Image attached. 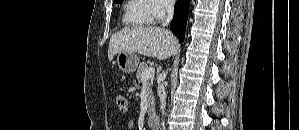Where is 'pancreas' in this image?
Listing matches in <instances>:
<instances>
[{
	"instance_id": "cf45deb5",
	"label": "pancreas",
	"mask_w": 299,
	"mask_h": 130,
	"mask_svg": "<svg viewBox=\"0 0 299 130\" xmlns=\"http://www.w3.org/2000/svg\"><path fill=\"white\" fill-rule=\"evenodd\" d=\"M149 66L146 63H141L136 73L137 81L141 86H144L146 89L147 103H148V114H151L154 109V95L152 92L151 84L148 80L142 79V74L145 70H147Z\"/></svg>"
}]
</instances>
